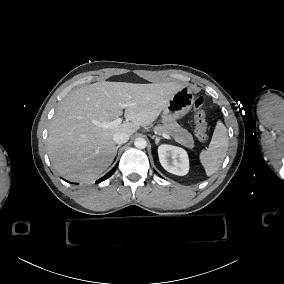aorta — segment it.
Returning a JSON list of instances; mask_svg holds the SVG:
<instances>
[{
  "instance_id": "obj_1",
  "label": "aorta",
  "mask_w": 284,
  "mask_h": 284,
  "mask_svg": "<svg viewBox=\"0 0 284 284\" xmlns=\"http://www.w3.org/2000/svg\"><path fill=\"white\" fill-rule=\"evenodd\" d=\"M134 145H135L136 148L144 149L147 146V142L144 138H137L134 141Z\"/></svg>"
}]
</instances>
